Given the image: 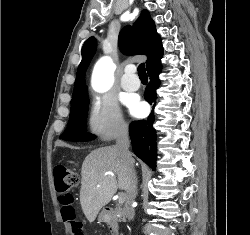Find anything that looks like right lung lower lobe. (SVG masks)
<instances>
[{"instance_id": "right-lung-lower-lobe-1", "label": "right lung lower lobe", "mask_w": 250, "mask_h": 235, "mask_svg": "<svg viewBox=\"0 0 250 235\" xmlns=\"http://www.w3.org/2000/svg\"><path fill=\"white\" fill-rule=\"evenodd\" d=\"M163 56V49L147 64V72L150 75V82L145 90V99L156 104V89L160 86L158 78L161 72L160 59ZM154 112L152 111L147 120L133 122L130 125V136L133 151L140 159L146 162L153 170L156 167L157 144L156 133L153 128Z\"/></svg>"}]
</instances>
